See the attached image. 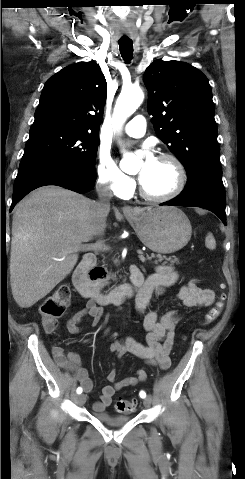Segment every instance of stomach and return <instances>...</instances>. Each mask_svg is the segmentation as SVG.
<instances>
[{"label": "stomach", "instance_id": "1", "mask_svg": "<svg viewBox=\"0 0 245 479\" xmlns=\"http://www.w3.org/2000/svg\"><path fill=\"white\" fill-rule=\"evenodd\" d=\"M126 217L142 243L157 253H174L191 238L188 217L175 207L139 208Z\"/></svg>", "mask_w": 245, "mask_h": 479}]
</instances>
